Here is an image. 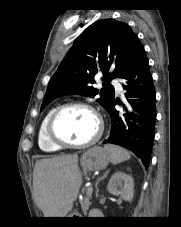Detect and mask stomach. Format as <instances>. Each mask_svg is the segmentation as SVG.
Masks as SVG:
<instances>
[{
	"mask_svg": "<svg viewBox=\"0 0 181 227\" xmlns=\"http://www.w3.org/2000/svg\"><path fill=\"white\" fill-rule=\"evenodd\" d=\"M111 156L105 148L94 146L84 152L80 158V165L85 171H97L107 167ZM71 214L67 217H76Z\"/></svg>",
	"mask_w": 181,
	"mask_h": 227,
	"instance_id": "obj_1",
	"label": "stomach"
}]
</instances>
